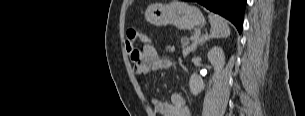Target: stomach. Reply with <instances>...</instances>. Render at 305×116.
<instances>
[{
    "label": "stomach",
    "mask_w": 305,
    "mask_h": 116,
    "mask_svg": "<svg viewBox=\"0 0 305 116\" xmlns=\"http://www.w3.org/2000/svg\"><path fill=\"white\" fill-rule=\"evenodd\" d=\"M145 19L155 26L171 24L179 29L197 27L205 21L199 9L180 1L150 5L145 12Z\"/></svg>",
    "instance_id": "stomach-1"
}]
</instances>
